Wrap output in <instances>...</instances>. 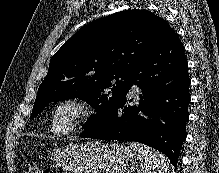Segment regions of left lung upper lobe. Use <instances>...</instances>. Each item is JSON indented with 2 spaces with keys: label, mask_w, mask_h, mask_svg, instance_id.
I'll return each mask as SVG.
<instances>
[{
  "label": "left lung upper lobe",
  "mask_w": 219,
  "mask_h": 173,
  "mask_svg": "<svg viewBox=\"0 0 219 173\" xmlns=\"http://www.w3.org/2000/svg\"><path fill=\"white\" fill-rule=\"evenodd\" d=\"M172 31L147 10L121 11L85 25L51 58L30 118L52 101L79 97L96 110L83 133L97 131L127 95L139 59Z\"/></svg>",
  "instance_id": "left-lung-upper-lobe-1"
}]
</instances>
